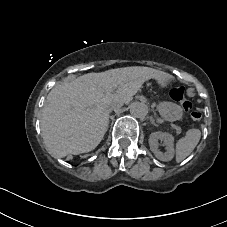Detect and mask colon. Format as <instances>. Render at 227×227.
I'll use <instances>...</instances> for the list:
<instances>
[{
    "instance_id": "1",
    "label": "colon",
    "mask_w": 227,
    "mask_h": 227,
    "mask_svg": "<svg viewBox=\"0 0 227 227\" xmlns=\"http://www.w3.org/2000/svg\"><path fill=\"white\" fill-rule=\"evenodd\" d=\"M166 84L171 87L170 94L174 101L180 103L184 111L188 112L193 121H201L202 112L199 109H192L190 102L186 99L185 88L177 82L169 79Z\"/></svg>"
}]
</instances>
